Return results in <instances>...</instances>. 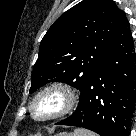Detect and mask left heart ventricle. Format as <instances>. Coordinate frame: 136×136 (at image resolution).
Returning <instances> with one entry per match:
<instances>
[{"instance_id":"b2bd125f","label":"left heart ventricle","mask_w":136,"mask_h":136,"mask_svg":"<svg viewBox=\"0 0 136 136\" xmlns=\"http://www.w3.org/2000/svg\"><path fill=\"white\" fill-rule=\"evenodd\" d=\"M62 103V97L58 93L52 92L46 94L37 100L34 106V113L38 117L49 116L58 111Z\"/></svg>"}]
</instances>
